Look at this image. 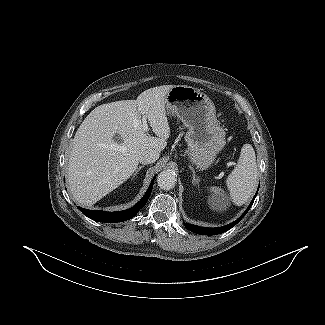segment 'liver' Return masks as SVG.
Instances as JSON below:
<instances>
[{
	"mask_svg": "<svg viewBox=\"0 0 325 325\" xmlns=\"http://www.w3.org/2000/svg\"><path fill=\"white\" fill-rule=\"evenodd\" d=\"M174 86L147 89L136 100L102 104L84 119L73 139L67 172L79 204L92 206L130 178L144 151L164 150L170 136L165 100ZM141 115L157 137L143 131Z\"/></svg>",
	"mask_w": 325,
	"mask_h": 325,
	"instance_id": "6515ba94",
	"label": "liver"
}]
</instances>
